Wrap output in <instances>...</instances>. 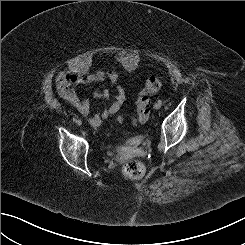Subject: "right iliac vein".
Here are the masks:
<instances>
[{"label":"right iliac vein","instance_id":"1","mask_svg":"<svg viewBox=\"0 0 245 245\" xmlns=\"http://www.w3.org/2000/svg\"><path fill=\"white\" fill-rule=\"evenodd\" d=\"M76 124H77L78 126H80V125H82V121H81V120H77V121H76Z\"/></svg>","mask_w":245,"mask_h":245}]
</instances>
